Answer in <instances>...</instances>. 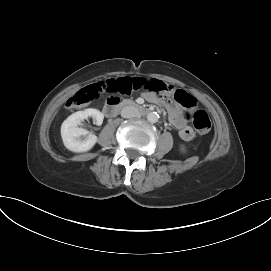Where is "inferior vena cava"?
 Returning <instances> with one entry per match:
<instances>
[{"mask_svg": "<svg viewBox=\"0 0 271 271\" xmlns=\"http://www.w3.org/2000/svg\"><path fill=\"white\" fill-rule=\"evenodd\" d=\"M121 116L123 118H132L139 116V113L133 106H125L121 111Z\"/></svg>", "mask_w": 271, "mask_h": 271, "instance_id": "inferior-vena-cava-1", "label": "inferior vena cava"}]
</instances>
